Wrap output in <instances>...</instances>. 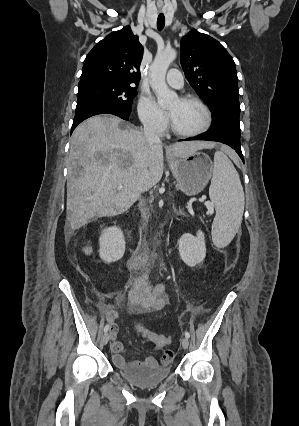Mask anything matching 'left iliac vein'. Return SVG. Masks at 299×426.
<instances>
[{
	"instance_id": "4c4485c4",
	"label": "left iliac vein",
	"mask_w": 299,
	"mask_h": 426,
	"mask_svg": "<svg viewBox=\"0 0 299 426\" xmlns=\"http://www.w3.org/2000/svg\"><path fill=\"white\" fill-rule=\"evenodd\" d=\"M181 344H182V347H183L184 349H187V348H188V346H189V340H188V338H187V337H184V338L181 340Z\"/></svg>"
}]
</instances>
